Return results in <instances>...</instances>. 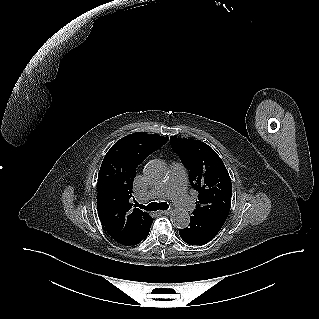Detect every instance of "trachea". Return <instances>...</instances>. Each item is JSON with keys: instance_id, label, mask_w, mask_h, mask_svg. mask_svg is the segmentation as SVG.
<instances>
[{"instance_id": "1", "label": "trachea", "mask_w": 319, "mask_h": 319, "mask_svg": "<svg viewBox=\"0 0 319 319\" xmlns=\"http://www.w3.org/2000/svg\"><path fill=\"white\" fill-rule=\"evenodd\" d=\"M137 207H139L140 209H144L147 211H157V210H167L169 205L166 202H161V203H157V202H152L150 204H148L147 206H144L142 204L136 203Z\"/></svg>"}]
</instances>
